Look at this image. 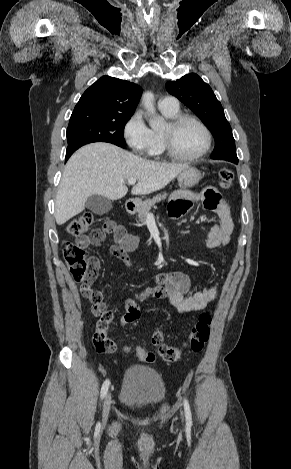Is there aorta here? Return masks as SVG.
<instances>
[{
    "instance_id": "1",
    "label": "aorta",
    "mask_w": 291,
    "mask_h": 469,
    "mask_svg": "<svg viewBox=\"0 0 291 469\" xmlns=\"http://www.w3.org/2000/svg\"><path fill=\"white\" fill-rule=\"evenodd\" d=\"M142 104L144 108L147 110L148 114L151 115L149 120V125L153 129L160 128L164 126L165 121L162 117L157 116L155 107H154V95L152 92H145L142 96Z\"/></svg>"
}]
</instances>
